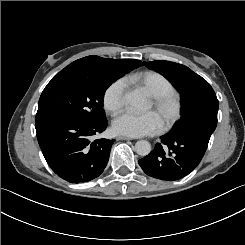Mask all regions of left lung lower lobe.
I'll use <instances>...</instances> for the list:
<instances>
[{
  "label": "left lung lower lobe",
  "mask_w": 245,
  "mask_h": 245,
  "mask_svg": "<svg viewBox=\"0 0 245 245\" xmlns=\"http://www.w3.org/2000/svg\"><path fill=\"white\" fill-rule=\"evenodd\" d=\"M217 97H209L199 113L187 114L161 137L151 153L139 160L143 171L162 181H176L190 174L202 160L217 126Z\"/></svg>",
  "instance_id": "obj_1"
}]
</instances>
